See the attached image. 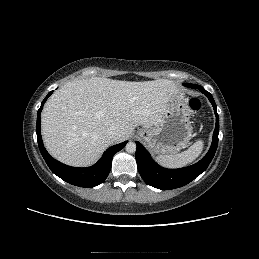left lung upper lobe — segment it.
Segmentation results:
<instances>
[{
	"label": "left lung upper lobe",
	"instance_id": "1",
	"mask_svg": "<svg viewBox=\"0 0 259 259\" xmlns=\"http://www.w3.org/2000/svg\"><path fill=\"white\" fill-rule=\"evenodd\" d=\"M185 86H187L189 88H196V86H198V85L187 83V84H185Z\"/></svg>",
	"mask_w": 259,
	"mask_h": 259
}]
</instances>
